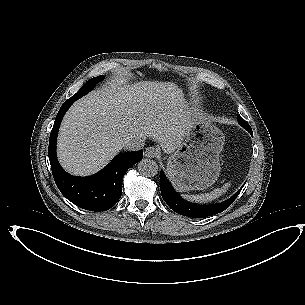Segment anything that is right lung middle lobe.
Returning <instances> with one entry per match:
<instances>
[{
	"instance_id": "1",
	"label": "right lung middle lobe",
	"mask_w": 305,
	"mask_h": 305,
	"mask_svg": "<svg viewBox=\"0 0 305 305\" xmlns=\"http://www.w3.org/2000/svg\"><path fill=\"white\" fill-rule=\"evenodd\" d=\"M104 78V76H97L94 77L90 80H88L81 89H79V91L74 94L71 99H73L74 101H76L77 99L81 98L82 96L86 95L90 90H92V88L95 86V84L97 82H100L102 79Z\"/></svg>"
}]
</instances>
